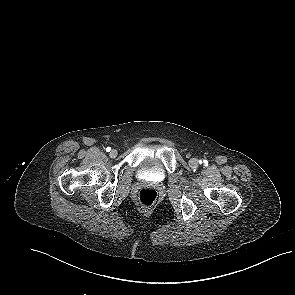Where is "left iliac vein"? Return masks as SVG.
Segmentation results:
<instances>
[{
	"mask_svg": "<svg viewBox=\"0 0 295 295\" xmlns=\"http://www.w3.org/2000/svg\"><path fill=\"white\" fill-rule=\"evenodd\" d=\"M189 165L192 167V168H197L199 166V161L196 159V158H192L190 159L189 161Z\"/></svg>",
	"mask_w": 295,
	"mask_h": 295,
	"instance_id": "1",
	"label": "left iliac vein"
}]
</instances>
